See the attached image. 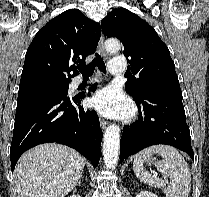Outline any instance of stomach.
<instances>
[{"instance_id": "0dacf381", "label": "stomach", "mask_w": 209, "mask_h": 197, "mask_svg": "<svg viewBox=\"0 0 209 197\" xmlns=\"http://www.w3.org/2000/svg\"><path fill=\"white\" fill-rule=\"evenodd\" d=\"M153 160L154 159L152 157H150V158L145 160V163L151 164V162H153Z\"/></svg>"}]
</instances>
